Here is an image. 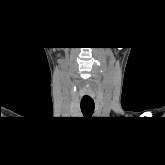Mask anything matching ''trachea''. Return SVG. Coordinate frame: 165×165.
Here are the masks:
<instances>
[{
    "instance_id": "3493384b",
    "label": "trachea",
    "mask_w": 165,
    "mask_h": 165,
    "mask_svg": "<svg viewBox=\"0 0 165 165\" xmlns=\"http://www.w3.org/2000/svg\"><path fill=\"white\" fill-rule=\"evenodd\" d=\"M94 108L93 100H81V111L84 116H91L94 112Z\"/></svg>"
}]
</instances>
